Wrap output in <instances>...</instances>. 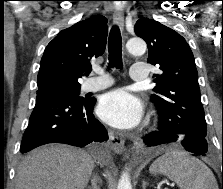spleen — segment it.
<instances>
[{
  "label": "spleen",
  "mask_w": 223,
  "mask_h": 189,
  "mask_svg": "<svg viewBox=\"0 0 223 189\" xmlns=\"http://www.w3.org/2000/svg\"><path fill=\"white\" fill-rule=\"evenodd\" d=\"M149 170L167 176L180 189H219L212 171L183 151L166 152L153 162Z\"/></svg>",
  "instance_id": "spleen-1"
}]
</instances>
